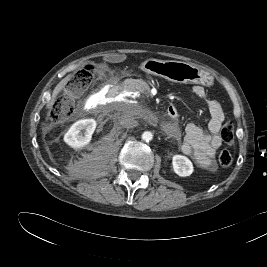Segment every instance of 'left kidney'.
Segmentation results:
<instances>
[{
  "label": "left kidney",
  "instance_id": "1",
  "mask_svg": "<svg viewBox=\"0 0 267 267\" xmlns=\"http://www.w3.org/2000/svg\"><path fill=\"white\" fill-rule=\"evenodd\" d=\"M172 165L174 172L181 177L190 176L194 171L192 162L184 155H174Z\"/></svg>",
  "mask_w": 267,
  "mask_h": 267
}]
</instances>
